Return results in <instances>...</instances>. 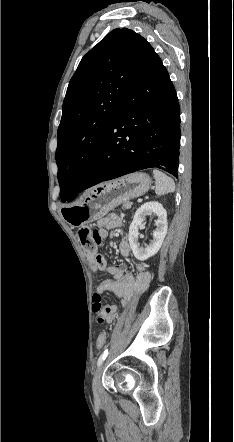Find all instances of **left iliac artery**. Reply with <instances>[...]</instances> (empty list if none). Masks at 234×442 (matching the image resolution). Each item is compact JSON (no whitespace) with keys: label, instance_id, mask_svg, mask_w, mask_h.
Listing matches in <instances>:
<instances>
[{"label":"left iliac artery","instance_id":"left-iliac-artery-1","mask_svg":"<svg viewBox=\"0 0 234 442\" xmlns=\"http://www.w3.org/2000/svg\"><path fill=\"white\" fill-rule=\"evenodd\" d=\"M107 355H108V350L106 349V350L100 355V357H99V359H98V361H97V366H98V367L103 363V361L106 359Z\"/></svg>","mask_w":234,"mask_h":442}]
</instances>
